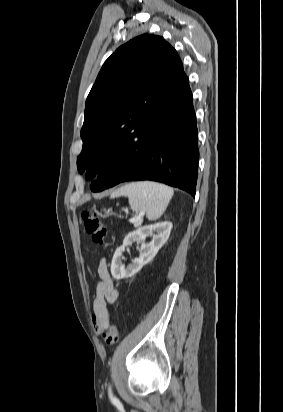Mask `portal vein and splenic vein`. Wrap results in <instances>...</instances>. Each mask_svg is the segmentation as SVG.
<instances>
[{
  "label": "portal vein and splenic vein",
  "mask_w": 283,
  "mask_h": 412,
  "mask_svg": "<svg viewBox=\"0 0 283 412\" xmlns=\"http://www.w3.org/2000/svg\"><path fill=\"white\" fill-rule=\"evenodd\" d=\"M142 216H135L131 218L129 221L130 223H133L134 225H137L140 223Z\"/></svg>",
  "instance_id": "portal-vein-and-splenic-vein-1"
}]
</instances>
